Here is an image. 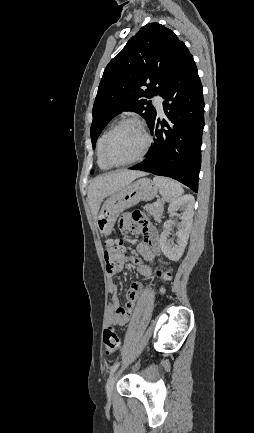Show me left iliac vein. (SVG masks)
I'll return each instance as SVG.
<instances>
[{
  "label": "left iliac vein",
  "mask_w": 254,
  "mask_h": 433,
  "mask_svg": "<svg viewBox=\"0 0 254 433\" xmlns=\"http://www.w3.org/2000/svg\"><path fill=\"white\" fill-rule=\"evenodd\" d=\"M118 373L119 372H116V373L112 374V376L109 378V380L107 382L106 392H107V396L109 398H111V396H112L114 385H115Z\"/></svg>",
  "instance_id": "1"
}]
</instances>
